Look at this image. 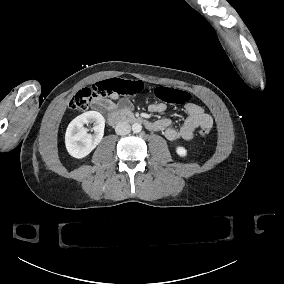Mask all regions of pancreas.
I'll use <instances>...</instances> for the list:
<instances>
[{
	"mask_svg": "<svg viewBox=\"0 0 284 284\" xmlns=\"http://www.w3.org/2000/svg\"><path fill=\"white\" fill-rule=\"evenodd\" d=\"M128 114H131V113H129V112H126V113H125V115H128Z\"/></svg>",
	"mask_w": 284,
	"mask_h": 284,
	"instance_id": "obj_1",
	"label": "pancreas"
}]
</instances>
